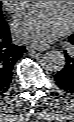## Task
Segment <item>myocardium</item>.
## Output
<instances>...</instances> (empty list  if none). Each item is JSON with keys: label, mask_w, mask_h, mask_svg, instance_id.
<instances>
[{"label": "myocardium", "mask_w": 74, "mask_h": 122, "mask_svg": "<svg viewBox=\"0 0 74 122\" xmlns=\"http://www.w3.org/2000/svg\"><path fill=\"white\" fill-rule=\"evenodd\" d=\"M72 4V17H71V23H74V1H71Z\"/></svg>", "instance_id": "1"}]
</instances>
